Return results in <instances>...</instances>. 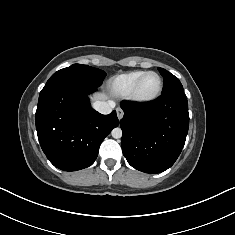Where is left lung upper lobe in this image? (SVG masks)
<instances>
[{
	"label": "left lung upper lobe",
	"instance_id": "obj_1",
	"mask_svg": "<svg viewBox=\"0 0 235 235\" xmlns=\"http://www.w3.org/2000/svg\"><path fill=\"white\" fill-rule=\"evenodd\" d=\"M158 70L164 79V87L162 94L175 91H183V86L177 77H175L173 74L163 68H158Z\"/></svg>",
	"mask_w": 235,
	"mask_h": 235
}]
</instances>
